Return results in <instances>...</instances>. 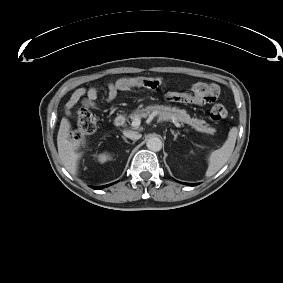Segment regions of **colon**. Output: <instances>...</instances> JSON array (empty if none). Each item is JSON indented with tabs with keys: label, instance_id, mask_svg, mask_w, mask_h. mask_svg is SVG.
<instances>
[{
	"label": "colon",
	"instance_id": "colon-1",
	"mask_svg": "<svg viewBox=\"0 0 283 283\" xmlns=\"http://www.w3.org/2000/svg\"><path fill=\"white\" fill-rule=\"evenodd\" d=\"M227 116L226 108L221 104H214L210 110V118L214 121H220ZM97 116L84 106L78 111L77 126L70 133L72 141L79 142L87 135L93 133L97 128Z\"/></svg>",
	"mask_w": 283,
	"mask_h": 283
}]
</instances>
